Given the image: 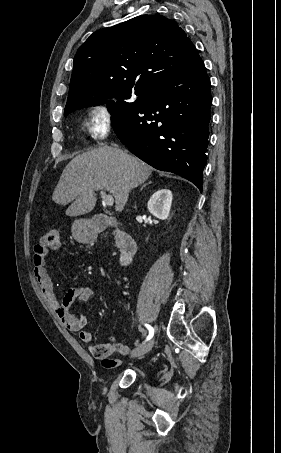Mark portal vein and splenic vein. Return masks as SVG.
<instances>
[{
  "mask_svg": "<svg viewBox=\"0 0 281 453\" xmlns=\"http://www.w3.org/2000/svg\"><path fill=\"white\" fill-rule=\"evenodd\" d=\"M100 194L103 200V204H105V206H112L114 202L112 194H106L105 190H100Z\"/></svg>",
  "mask_w": 281,
  "mask_h": 453,
  "instance_id": "obj_1",
  "label": "portal vein and splenic vein"
}]
</instances>
